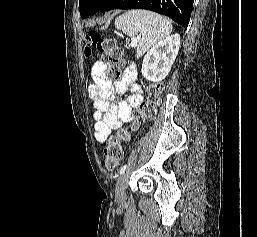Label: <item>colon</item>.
<instances>
[{"instance_id": "obj_1", "label": "colon", "mask_w": 257, "mask_h": 237, "mask_svg": "<svg viewBox=\"0 0 257 237\" xmlns=\"http://www.w3.org/2000/svg\"><path fill=\"white\" fill-rule=\"evenodd\" d=\"M86 42L88 44L85 49L86 55L89 56L91 49L95 48L101 54L103 61L108 65V77L112 80H119L124 65L123 49L117 46L113 39L104 37L94 30L87 33ZM147 90V100L140 105L135 120L129 127L119 129L115 135L109 138L105 149L106 169L112 171L121 164L123 160L122 143L130 141L132 134L137 132L145 122L154 119L156 109L161 103L160 96L163 86L161 84H151Z\"/></svg>"}]
</instances>
